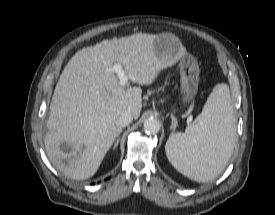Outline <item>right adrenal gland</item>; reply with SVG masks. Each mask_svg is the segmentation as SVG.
<instances>
[{"mask_svg":"<svg viewBox=\"0 0 275 215\" xmlns=\"http://www.w3.org/2000/svg\"><path fill=\"white\" fill-rule=\"evenodd\" d=\"M118 143H119V138H117V140H116V142H115V144H114L113 149H115V148L118 146Z\"/></svg>","mask_w":275,"mask_h":215,"instance_id":"obj_1","label":"right adrenal gland"}]
</instances>
